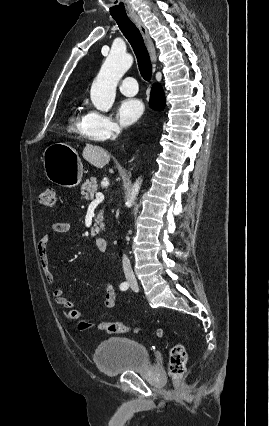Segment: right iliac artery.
<instances>
[{
    "label": "right iliac artery",
    "mask_w": 269,
    "mask_h": 426,
    "mask_svg": "<svg viewBox=\"0 0 269 426\" xmlns=\"http://www.w3.org/2000/svg\"><path fill=\"white\" fill-rule=\"evenodd\" d=\"M129 288V284H128V282H123L121 285H120V289L121 290H127Z\"/></svg>",
    "instance_id": "1"
}]
</instances>
